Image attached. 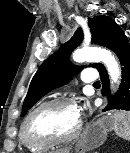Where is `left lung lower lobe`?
Instances as JSON below:
<instances>
[{
    "label": "left lung lower lobe",
    "mask_w": 130,
    "mask_h": 153,
    "mask_svg": "<svg viewBox=\"0 0 130 153\" xmlns=\"http://www.w3.org/2000/svg\"><path fill=\"white\" fill-rule=\"evenodd\" d=\"M118 56L122 65V80L119 90L114 96L110 95L109 78L105 67L98 69L102 81V94L108 95V105L103 110H126L130 111V44L123 31L113 36L107 45Z\"/></svg>",
    "instance_id": "obj_1"
}]
</instances>
